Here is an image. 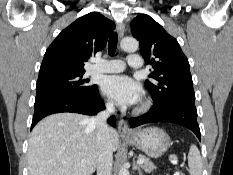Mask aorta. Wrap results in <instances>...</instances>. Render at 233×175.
I'll return each mask as SVG.
<instances>
[{
    "mask_svg": "<svg viewBox=\"0 0 233 175\" xmlns=\"http://www.w3.org/2000/svg\"><path fill=\"white\" fill-rule=\"evenodd\" d=\"M121 48L126 52H135L139 47V43L134 38H124L120 44ZM119 175H130L126 167L120 169Z\"/></svg>",
    "mask_w": 233,
    "mask_h": 175,
    "instance_id": "1",
    "label": "aorta"
}]
</instances>
